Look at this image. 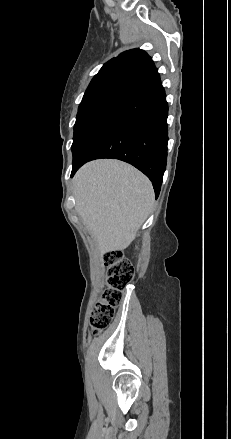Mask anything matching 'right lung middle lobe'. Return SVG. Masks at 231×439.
I'll return each mask as SVG.
<instances>
[{"label": "right lung middle lobe", "instance_id": "obj_1", "mask_svg": "<svg viewBox=\"0 0 231 439\" xmlns=\"http://www.w3.org/2000/svg\"><path fill=\"white\" fill-rule=\"evenodd\" d=\"M135 95H111L82 104L78 108L72 144L73 161L87 151L93 141L117 123L141 113Z\"/></svg>", "mask_w": 231, "mask_h": 439}]
</instances>
